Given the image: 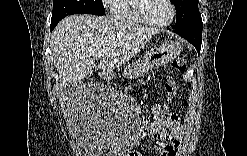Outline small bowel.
Instances as JSON below:
<instances>
[{
  "label": "small bowel",
  "instance_id": "c3829d8e",
  "mask_svg": "<svg viewBox=\"0 0 247 156\" xmlns=\"http://www.w3.org/2000/svg\"><path fill=\"white\" fill-rule=\"evenodd\" d=\"M153 107H167L166 105L156 103ZM168 117L165 118L163 130H159V135L151 139L155 146V150L161 156L175 155L179 149V143L183 136V128L180 122V118L177 114L172 112H166ZM142 151H131V156H141Z\"/></svg>",
  "mask_w": 247,
  "mask_h": 156
}]
</instances>
